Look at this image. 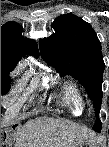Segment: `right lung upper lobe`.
Returning <instances> with one entry per match:
<instances>
[{"label": "right lung upper lobe", "mask_w": 109, "mask_h": 147, "mask_svg": "<svg viewBox=\"0 0 109 147\" xmlns=\"http://www.w3.org/2000/svg\"><path fill=\"white\" fill-rule=\"evenodd\" d=\"M22 31V26L13 21L1 27V67L15 68L24 54L38 56L36 43L24 38Z\"/></svg>", "instance_id": "right-lung-upper-lobe-1"}]
</instances>
